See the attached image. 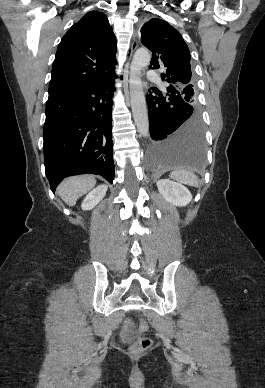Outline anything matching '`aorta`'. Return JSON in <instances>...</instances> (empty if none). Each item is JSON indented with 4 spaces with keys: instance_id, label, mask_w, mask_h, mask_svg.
Masks as SVG:
<instances>
[{
    "instance_id": "1",
    "label": "aorta",
    "mask_w": 265,
    "mask_h": 388,
    "mask_svg": "<svg viewBox=\"0 0 265 388\" xmlns=\"http://www.w3.org/2000/svg\"><path fill=\"white\" fill-rule=\"evenodd\" d=\"M150 60L151 55L149 51L139 49L135 52L130 66L129 88L131 108L137 130L143 137L149 135V121L141 71L150 63Z\"/></svg>"
}]
</instances>
